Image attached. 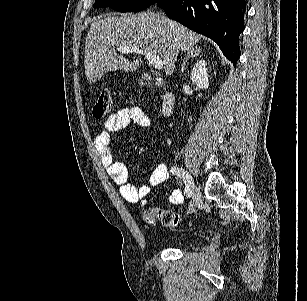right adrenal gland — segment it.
Here are the masks:
<instances>
[{
	"label": "right adrenal gland",
	"instance_id": "2a0ac1e0",
	"mask_svg": "<svg viewBox=\"0 0 307 301\" xmlns=\"http://www.w3.org/2000/svg\"><path fill=\"white\" fill-rule=\"evenodd\" d=\"M201 48L202 46H196V48H190V50H187L186 58L183 60V64H181L182 72L186 70V62L189 60V58H192V56H199V54H201Z\"/></svg>",
	"mask_w": 307,
	"mask_h": 301
}]
</instances>
